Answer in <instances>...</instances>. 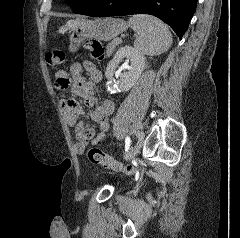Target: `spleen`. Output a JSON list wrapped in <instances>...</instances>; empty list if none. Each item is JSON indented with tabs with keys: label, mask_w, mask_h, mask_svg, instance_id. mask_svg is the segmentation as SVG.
<instances>
[{
	"label": "spleen",
	"mask_w": 240,
	"mask_h": 238,
	"mask_svg": "<svg viewBox=\"0 0 240 238\" xmlns=\"http://www.w3.org/2000/svg\"><path fill=\"white\" fill-rule=\"evenodd\" d=\"M128 24L137 33L134 46L142 54L159 55L167 51L172 44V34L168 27L155 17L134 15Z\"/></svg>",
	"instance_id": "obj_1"
}]
</instances>
